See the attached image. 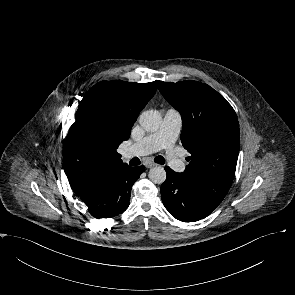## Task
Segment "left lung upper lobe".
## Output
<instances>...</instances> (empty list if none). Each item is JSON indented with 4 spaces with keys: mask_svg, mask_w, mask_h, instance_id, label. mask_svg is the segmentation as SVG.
Segmentation results:
<instances>
[{
    "mask_svg": "<svg viewBox=\"0 0 295 295\" xmlns=\"http://www.w3.org/2000/svg\"><path fill=\"white\" fill-rule=\"evenodd\" d=\"M159 90L182 117L181 142L191 154L182 177L218 206L233 182L239 153L235 111L222 95L201 82L161 81Z\"/></svg>",
    "mask_w": 295,
    "mask_h": 295,
    "instance_id": "obj_1",
    "label": "left lung upper lobe"
}]
</instances>
